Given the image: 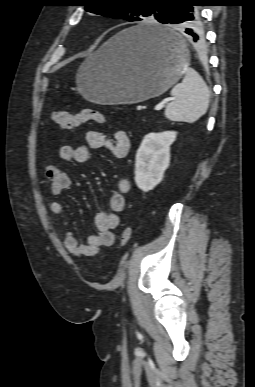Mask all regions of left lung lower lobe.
<instances>
[{
	"label": "left lung lower lobe",
	"instance_id": "obj_1",
	"mask_svg": "<svg viewBox=\"0 0 255 387\" xmlns=\"http://www.w3.org/2000/svg\"><path fill=\"white\" fill-rule=\"evenodd\" d=\"M201 0H182L171 6L169 16L163 24H182L185 28V33L192 36L193 41L202 46L204 38L198 29L200 21L199 11L197 6H203ZM141 35L146 39L162 45H171L172 39L164 31L158 29L145 30Z\"/></svg>",
	"mask_w": 255,
	"mask_h": 387
}]
</instances>
